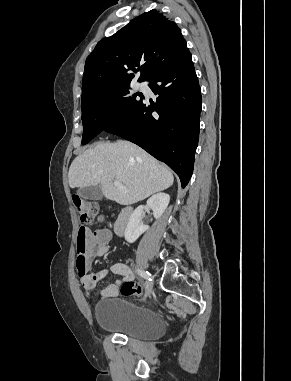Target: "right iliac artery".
<instances>
[{
    "label": "right iliac artery",
    "mask_w": 291,
    "mask_h": 381,
    "mask_svg": "<svg viewBox=\"0 0 291 381\" xmlns=\"http://www.w3.org/2000/svg\"><path fill=\"white\" fill-rule=\"evenodd\" d=\"M136 272L144 279H146L147 281H151V275L149 272H145V271H141V270H136Z\"/></svg>",
    "instance_id": "82829eb1"
}]
</instances>
